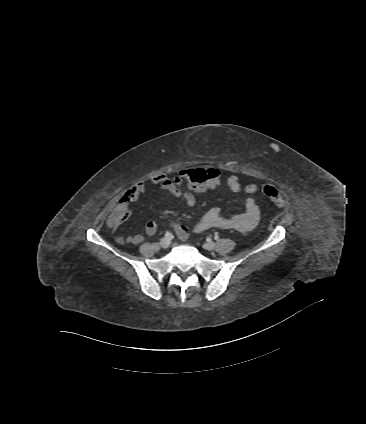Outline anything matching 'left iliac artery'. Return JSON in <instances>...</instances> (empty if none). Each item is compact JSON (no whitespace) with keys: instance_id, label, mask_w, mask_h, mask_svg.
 <instances>
[{"instance_id":"1","label":"left iliac artery","mask_w":366,"mask_h":424,"mask_svg":"<svg viewBox=\"0 0 366 424\" xmlns=\"http://www.w3.org/2000/svg\"><path fill=\"white\" fill-rule=\"evenodd\" d=\"M214 239H215V240H219V236H218V235H215V236H214Z\"/></svg>"}]
</instances>
